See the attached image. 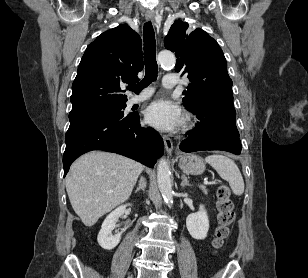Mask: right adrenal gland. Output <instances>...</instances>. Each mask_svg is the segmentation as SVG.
I'll use <instances>...</instances> for the list:
<instances>
[{"label": "right adrenal gland", "instance_id": "right-adrenal-gland-1", "mask_svg": "<svg viewBox=\"0 0 308 278\" xmlns=\"http://www.w3.org/2000/svg\"><path fill=\"white\" fill-rule=\"evenodd\" d=\"M146 180H145V178L144 177H140V180H139V184H138V187H137V189L135 190V193H137L138 191H140V190H142V191H144L145 190V188H146Z\"/></svg>", "mask_w": 308, "mask_h": 278}]
</instances>
